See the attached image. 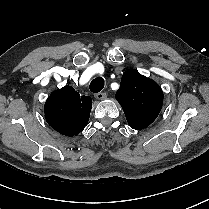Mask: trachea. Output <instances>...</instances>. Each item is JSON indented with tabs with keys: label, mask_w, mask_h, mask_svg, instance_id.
<instances>
[{
	"label": "trachea",
	"mask_w": 209,
	"mask_h": 209,
	"mask_svg": "<svg viewBox=\"0 0 209 209\" xmlns=\"http://www.w3.org/2000/svg\"><path fill=\"white\" fill-rule=\"evenodd\" d=\"M104 88V79L102 77H97L93 79L90 83V91L93 93H98Z\"/></svg>",
	"instance_id": "3493384b"
}]
</instances>
